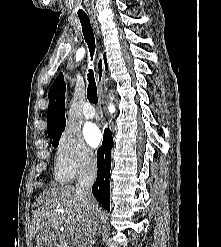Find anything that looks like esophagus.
I'll return each mask as SVG.
<instances>
[{"label": "esophagus", "mask_w": 221, "mask_h": 247, "mask_svg": "<svg viewBox=\"0 0 221 247\" xmlns=\"http://www.w3.org/2000/svg\"><path fill=\"white\" fill-rule=\"evenodd\" d=\"M93 25L96 28L97 33H99L97 23L92 19ZM105 77V68L102 54L100 53L96 62V79H97V86L99 92V105L98 108L101 109V95H102V86Z\"/></svg>", "instance_id": "obj_1"}]
</instances>
